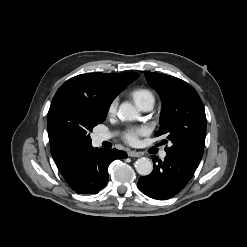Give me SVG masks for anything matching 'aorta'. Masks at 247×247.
<instances>
[{"label":"aorta","mask_w":247,"mask_h":247,"mask_svg":"<svg viewBox=\"0 0 247 247\" xmlns=\"http://www.w3.org/2000/svg\"><path fill=\"white\" fill-rule=\"evenodd\" d=\"M119 116L124 120L134 121L139 118V112L132 104L123 102L119 106ZM135 169L140 175L146 176L152 172L153 164L149 158L142 157L135 162Z\"/></svg>","instance_id":"762f6f07"}]
</instances>
